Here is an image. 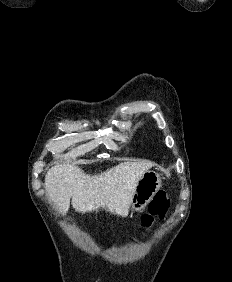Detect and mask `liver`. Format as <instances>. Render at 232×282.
<instances>
[{
  "label": "liver",
  "mask_w": 232,
  "mask_h": 282,
  "mask_svg": "<svg viewBox=\"0 0 232 282\" xmlns=\"http://www.w3.org/2000/svg\"><path fill=\"white\" fill-rule=\"evenodd\" d=\"M146 161L124 162L97 175H88L77 166L58 164L45 176L46 194L66 214L70 206L87 213L105 209L126 217L140 177L152 168Z\"/></svg>",
  "instance_id": "6515ba94"
}]
</instances>
